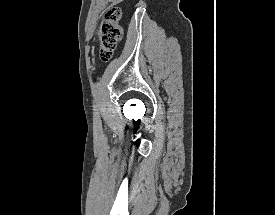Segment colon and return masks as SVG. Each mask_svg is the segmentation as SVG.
<instances>
[{
	"label": "colon",
	"instance_id": "5ec220e1",
	"mask_svg": "<svg viewBox=\"0 0 275 215\" xmlns=\"http://www.w3.org/2000/svg\"><path fill=\"white\" fill-rule=\"evenodd\" d=\"M122 35L121 9L118 6H111L104 15L98 34V50L103 61L112 58Z\"/></svg>",
	"mask_w": 275,
	"mask_h": 215
}]
</instances>
